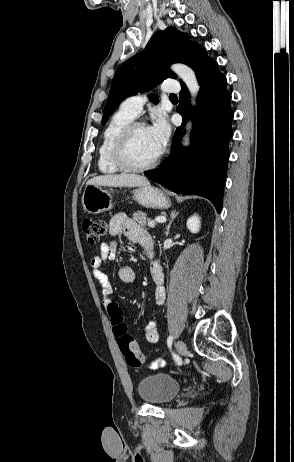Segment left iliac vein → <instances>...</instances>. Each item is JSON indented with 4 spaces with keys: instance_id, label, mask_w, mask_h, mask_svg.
Segmentation results:
<instances>
[{
    "instance_id": "left-iliac-vein-1",
    "label": "left iliac vein",
    "mask_w": 294,
    "mask_h": 462,
    "mask_svg": "<svg viewBox=\"0 0 294 462\" xmlns=\"http://www.w3.org/2000/svg\"><path fill=\"white\" fill-rule=\"evenodd\" d=\"M177 351L180 356H184L187 352V347L184 341L179 340L177 343Z\"/></svg>"
}]
</instances>
